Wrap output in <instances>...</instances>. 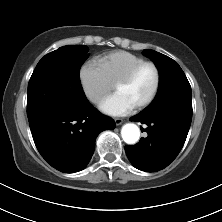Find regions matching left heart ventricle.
I'll use <instances>...</instances> for the list:
<instances>
[{
	"label": "left heart ventricle",
	"mask_w": 222,
	"mask_h": 222,
	"mask_svg": "<svg viewBox=\"0 0 222 222\" xmlns=\"http://www.w3.org/2000/svg\"><path fill=\"white\" fill-rule=\"evenodd\" d=\"M155 79L153 68L145 67L131 83L119 86L115 91L124 95L136 107L149 97L154 88Z\"/></svg>",
	"instance_id": "obj_1"
}]
</instances>
